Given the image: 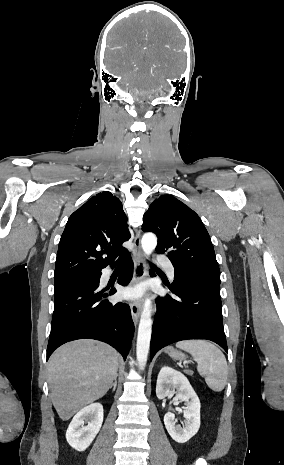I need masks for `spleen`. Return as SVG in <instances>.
<instances>
[{
    "label": "spleen",
    "mask_w": 284,
    "mask_h": 465,
    "mask_svg": "<svg viewBox=\"0 0 284 465\" xmlns=\"http://www.w3.org/2000/svg\"><path fill=\"white\" fill-rule=\"evenodd\" d=\"M178 349H183L192 355L198 363L199 375L205 377V381L212 391H223L228 375L227 361L220 349L208 343V341H180Z\"/></svg>",
    "instance_id": "3e777b00"
}]
</instances>
